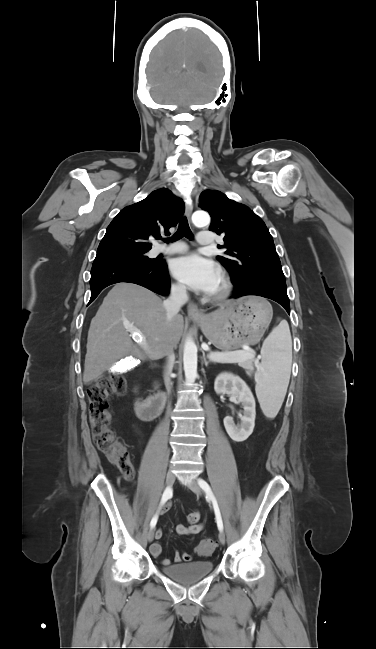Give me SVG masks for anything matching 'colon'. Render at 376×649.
Returning a JSON list of instances; mask_svg holds the SVG:
<instances>
[{"label":"colon","mask_w":376,"mask_h":649,"mask_svg":"<svg viewBox=\"0 0 376 649\" xmlns=\"http://www.w3.org/2000/svg\"><path fill=\"white\" fill-rule=\"evenodd\" d=\"M126 391V381L118 375L104 376L87 389L89 403V421L92 428L93 441L97 448L114 463L123 476L131 479L135 469L129 456L127 446L121 442L110 429V414L108 398L111 395H121ZM217 546L213 539H204L197 547L200 555L210 554Z\"/></svg>","instance_id":"1"}]
</instances>
